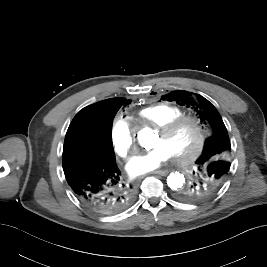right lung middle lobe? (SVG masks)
<instances>
[{
    "mask_svg": "<svg viewBox=\"0 0 267 267\" xmlns=\"http://www.w3.org/2000/svg\"><path fill=\"white\" fill-rule=\"evenodd\" d=\"M127 105V104H126ZM122 105H112L110 106L105 113L104 116V122L109 125L110 131L105 135H100L96 142L92 144L85 152H83L76 162L77 163H85L86 161L90 160L91 158H101V159H114V153L112 148V139H111V132H112V124L113 119L120 109ZM79 127V125H71L69 126L65 141L71 137V135L74 133V131ZM63 163V170L66 171L73 167L72 164L68 163L67 160H65Z\"/></svg>",
    "mask_w": 267,
    "mask_h": 267,
    "instance_id": "1",
    "label": "right lung middle lobe"
}]
</instances>
